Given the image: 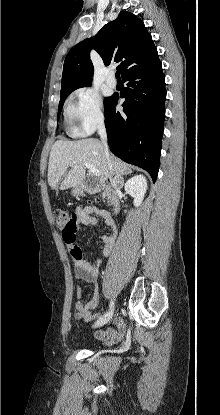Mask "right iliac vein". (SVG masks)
<instances>
[{
  "label": "right iliac vein",
  "instance_id": "63e3f726",
  "mask_svg": "<svg viewBox=\"0 0 220 415\" xmlns=\"http://www.w3.org/2000/svg\"><path fill=\"white\" fill-rule=\"evenodd\" d=\"M113 316V309L106 313L103 317L99 318L95 323L94 327H100L108 323Z\"/></svg>",
  "mask_w": 220,
  "mask_h": 415
}]
</instances>
